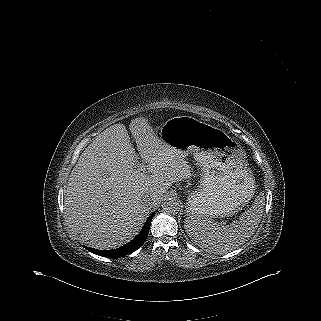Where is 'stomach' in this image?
<instances>
[{
    "mask_svg": "<svg viewBox=\"0 0 321 321\" xmlns=\"http://www.w3.org/2000/svg\"><path fill=\"white\" fill-rule=\"evenodd\" d=\"M160 139L181 157L192 154L202 169L200 187L187 198V213L221 217L237 212L253 194L244 151L221 129L190 116H176Z\"/></svg>",
    "mask_w": 321,
    "mask_h": 321,
    "instance_id": "0dacf381",
    "label": "stomach"
}]
</instances>
